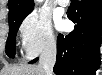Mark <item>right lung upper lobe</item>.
Wrapping results in <instances>:
<instances>
[{
	"instance_id": "obj_1",
	"label": "right lung upper lobe",
	"mask_w": 102,
	"mask_h": 75,
	"mask_svg": "<svg viewBox=\"0 0 102 75\" xmlns=\"http://www.w3.org/2000/svg\"><path fill=\"white\" fill-rule=\"evenodd\" d=\"M34 7L33 0H9V16L20 14L27 11H32Z\"/></svg>"
}]
</instances>
